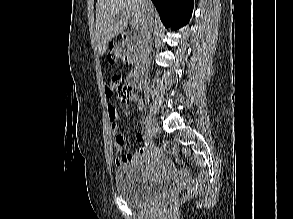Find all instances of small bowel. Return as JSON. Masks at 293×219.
<instances>
[{
  "mask_svg": "<svg viewBox=\"0 0 293 219\" xmlns=\"http://www.w3.org/2000/svg\"><path fill=\"white\" fill-rule=\"evenodd\" d=\"M105 94L107 98H111L113 96V89L109 84L105 87ZM130 100L136 104L139 111H142L144 109V100L140 95L134 93L132 94ZM107 108L109 117L112 122L113 133L115 135V148L117 151H121L127 142V138L124 134L119 133L118 131L117 112L114 104L111 101L108 102ZM136 140L139 143H142L143 146H141L133 153H128L117 157L116 165L118 167L136 163L139 156L145 154L148 151L150 144L142 133L136 134Z\"/></svg>",
  "mask_w": 293,
  "mask_h": 219,
  "instance_id": "small-bowel-1",
  "label": "small bowel"
}]
</instances>
